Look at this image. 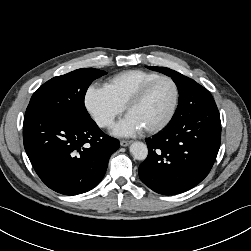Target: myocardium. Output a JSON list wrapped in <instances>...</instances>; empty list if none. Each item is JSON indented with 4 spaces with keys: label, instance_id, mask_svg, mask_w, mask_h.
I'll list each match as a JSON object with an SVG mask.
<instances>
[{
    "label": "myocardium",
    "instance_id": "obj_1",
    "mask_svg": "<svg viewBox=\"0 0 251 251\" xmlns=\"http://www.w3.org/2000/svg\"><path fill=\"white\" fill-rule=\"evenodd\" d=\"M161 80H167L172 84L173 89H174L173 104H172V107L170 109V112L168 113L166 118L161 123H159L158 125H156V126H154L152 128H148V129L144 130L145 133H147V134H156V133L162 131L173 120V118H174V116L176 114V111H177V108H178V105H179V99H180V90H179V86H178L177 82L175 81V79L172 78L171 76H168V75H159L158 77L146 82L129 99V101L127 102V104L125 106V111L128 114V112L130 111L131 108H133L134 106L139 104L144 99V97L146 96L148 91L151 89V87L153 85H155L157 82L161 81Z\"/></svg>",
    "mask_w": 251,
    "mask_h": 251
}]
</instances>
